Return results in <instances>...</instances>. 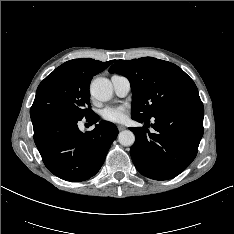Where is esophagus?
I'll list each match as a JSON object with an SVG mask.
<instances>
[{
  "mask_svg": "<svg viewBox=\"0 0 234 234\" xmlns=\"http://www.w3.org/2000/svg\"><path fill=\"white\" fill-rule=\"evenodd\" d=\"M117 128H118L119 131H122V130L126 129V127L123 126V125H118Z\"/></svg>",
  "mask_w": 234,
  "mask_h": 234,
  "instance_id": "1",
  "label": "esophagus"
}]
</instances>
